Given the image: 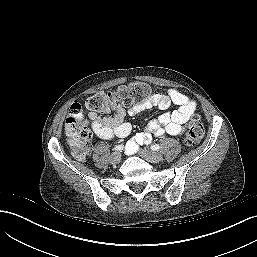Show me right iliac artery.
<instances>
[{"instance_id":"right-iliac-artery-1","label":"right iliac artery","mask_w":257,"mask_h":257,"mask_svg":"<svg viewBox=\"0 0 257 257\" xmlns=\"http://www.w3.org/2000/svg\"><path fill=\"white\" fill-rule=\"evenodd\" d=\"M123 148H124L123 145H118L114 149L117 150V151H121V150H123Z\"/></svg>"}]
</instances>
